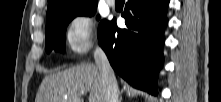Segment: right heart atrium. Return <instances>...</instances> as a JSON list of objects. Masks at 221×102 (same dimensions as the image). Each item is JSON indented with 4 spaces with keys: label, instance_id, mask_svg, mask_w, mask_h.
Segmentation results:
<instances>
[{
    "label": "right heart atrium",
    "instance_id": "right-heart-atrium-1",
    "mask_svg": "<svg viewBox=\"0 0 221 102\" xmlns=\"http://www.w3.org/2000/svg\"><path fill=\"white\" fill-rule=\"evenodd\" d=\"M66 41L70 50L76 55H83L97 41L96 22L88 12H77L68 21Z\"/></svg>",
    "mask_w": 221,
    "mask_h": 102
}]
</instances>
